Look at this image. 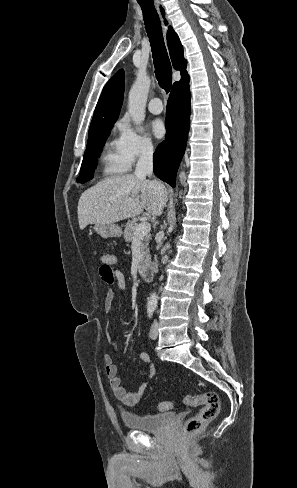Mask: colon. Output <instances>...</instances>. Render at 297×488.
<instances>
[{"mask_svg": "<svg viewBox=\"0 0 297 488\" xmlns=\"http://www.w3.org/2000/svg\"><path fill=\"white\" fill-rule=\"evenodd\" d=\"M112 259L105 254L101 257L99 274L101 279L110 284L113 282V269L110 265ZM184 403L189 406H202V409L193 417L189 418L184 426L186 434H193L204 429L212 420H214L220 410V400L217 393L209 391L199 395H187L184 397ZM171 402H162L158 404L159 411H168L172 408Z\"/></svg>", "mask_w": 297, "mask_h": 488, "instance_id": "obj_1", "label": "colon"}]
</instances>
